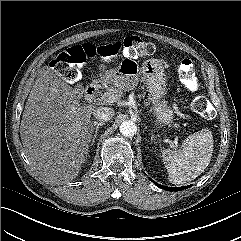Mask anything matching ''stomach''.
Listing matches in <instances>:
<instances>
[{
  "label": "stomach",
  "mask_w": 241,
  "mask_h": 241,
  "mask_svg": "<svg viewBox=\"0 0 241 241\" xmlns=\"http://www.w3.org/2000/svg\"><path fill=\"white\" fill-rule=\"evenodd\" d=\"M114 81L120 88L134 87L141 80L147 87L153 104V113L160 124H168L173 118V111L162 100L166 92L164 68L158 60L149 59L140 67L137 62L125 59L113 74Z\"/></svg>",
  "instance_id": "obj_1"
}]
</instances>
